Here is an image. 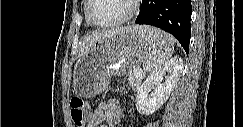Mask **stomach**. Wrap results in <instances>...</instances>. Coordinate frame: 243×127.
Returning a JSON list of instances; mask_svg holds the SVG:
<instances>
[{"instance_id":"1","label":"stomach","mask_w":243,"mask_h":127,"mask_svg":"<svg viewBox=\"0 0 243 127\" xmlns=\"http://www.w3.org/2000/svg\"><path fill=\"white\" fill-rule=\"evenodd\" d=\"M134 26L98 40L88 53L79 57L73 71L76 94L90 98L102 92L113 74H126L138 68L149 51V43Z\"/></svg>"}]
</instances>
